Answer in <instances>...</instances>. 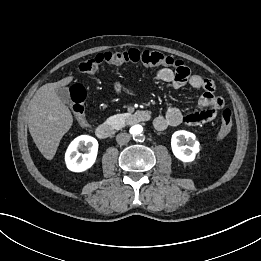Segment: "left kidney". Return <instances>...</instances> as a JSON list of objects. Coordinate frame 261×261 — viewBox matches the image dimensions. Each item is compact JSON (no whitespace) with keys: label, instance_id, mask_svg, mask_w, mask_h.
Here are the masks:
<instances>
[{"label":"left kidney","instance_id":"5707ae66","mask_svg":"<svg viewBox=\"0 0 261 261\" xmlns=\"http://www.w3.org/2000/svg\"><path fill=\"white\" fill-rule=\"evenodd\" d=\"M188 145H184V143ZM196 136L188 131H176L171 138V147L176 158L183 162H192L200 151Z\"/></svg>","mask_w":261,"mask_h":261}]
</instances>
